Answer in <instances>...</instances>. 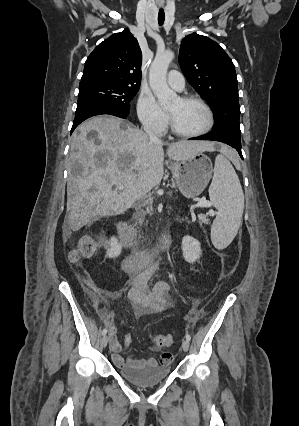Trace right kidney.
I'll use <instances>...</instances> for the list:
<instances>
[{
	"instance_id": "ca27d5eb",
	"label": "right kidney",
	"mask_w": 299,
	"mask_h": 426,
	"mask_svg": "<svg viewBox=\"0 0 299 426\" xmlns=\"http://www.w3.org/2000/svg\"><path fill=\"white\" fill-rule=\"evenodd\" d=\"M110 248L106 252V256L109 258H115L118 257L121 254L122 246L120 243H118V240L116 237H111V240L109 242Z\"/></svg>"
}]
</instances>
